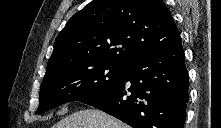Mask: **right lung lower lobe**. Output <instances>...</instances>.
<instances>
[{
    "label": "right lung lower lobe",
    "instance_id": "1",
    "mask_svg": "<svg viewBox=\"0 0 221 128\" xmlns=\"http://www.w3.org/2000/svg\"><path fill=\"white\" fill-rule=\"evenodd\" d=\"M189 76L182 44L131 61L110 89L82 103L133 128H184Z\"/></svg>",
    "mask_w": 221,
    "mask_h": 128
}]
</instances>
